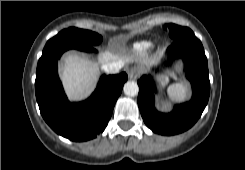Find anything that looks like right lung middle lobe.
<instances>
[{"label": "right lung middle lobe", "mask_w": 245, "mask_h": 170, "mask_svg": "<svg viewBox=\"0 0 245 170\" xmlns=\"http://www.w3.org/2000/svg\"><path fill=\"white\" fill-rule=\"evenodd\" d=\"M101 41L102 36L95 32L70 27L62 30L46 43L40 60L60 49L92 47L100 44Z\"/></svg>", "instance_id": "right-lung-middle-lobe-1"}]
</instances>
